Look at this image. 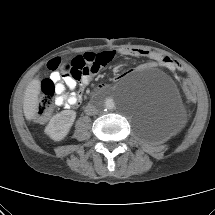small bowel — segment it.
I'll use <instances>...</instances> for the list:
<instances>
[{
	"label": "small bowel",
	"instance_id": "c3829d8e",
	"mask_svg": "<svg viewBox=\"0 0 215 215\" xmlns=\"http://www.w3.org/2000/svg\"><path fill=\"white\" fill-rule=\"evenodd\" d=\"M117 55L129 57H144L150 60V65L159 64L164 67H171L173 61L168 56L160 55L158 53L137 49V48H122L120 50H110L102 52H86L79 57L84 63V69L79 79L73 76H65L60 72H53L51 78L55 81L57 106H64L66 108L77 106L80 103V95L75 92L78 84L86 86L90 84L98 72L109 64ZM70 90V92H67Z\"/></svg>",
	"mask_w": 215,
	"mask_h": 215
}]
</instances>
